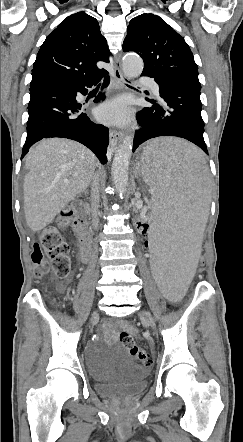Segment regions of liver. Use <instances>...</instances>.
<instances>
[{
  "instance_id": "obj_1",
  "label": "liver",
  "mask_w": 243,
  "mask_h": 442,
  "mask_svg": "<svg viewBox=\"0 0 243 442\" xmlns=\"http://www.w3.org/2000/svg\"><path fill=\"white\" fill-rule=\"evenodd\" d=\"M25 166L24 213L30 229L37 232L86 190L94 176L96 156L78 142L50 138L29 152Z\"/></svg>"
}]
</instances>
